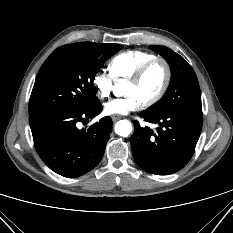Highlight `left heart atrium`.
Instances as JSON below:
<instances>
[{
  "label": "left heart atrium",
  "mask_w": 233,
  "mask_h": 233,
  "mask_svg": "<svg viewBox=\"0 0 233 233\" xmlns=\"http://www.w3.org/2000/svg\"><path fill=\"white\" fill-rule=\"evenodd\" d=\"M142 104L143 103L136 95L130 94L106 102L104 104V111L108 115H125L140 109Z\"/></svg>",
  "instance_id": "39dd6f15"
}]
</instances>
